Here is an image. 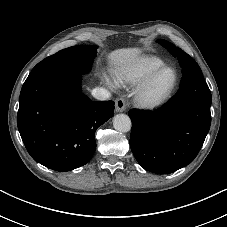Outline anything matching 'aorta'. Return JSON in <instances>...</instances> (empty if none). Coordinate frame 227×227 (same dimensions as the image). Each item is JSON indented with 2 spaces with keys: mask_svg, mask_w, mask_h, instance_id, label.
Instances as JSON below:
<instances>
[{
  "mask_svg": "<svg viewBox=\"0 0 227 227\" xmlns=\"http://www.w3.org/2000/svg\"><path fill=\"white\" fill-rule=\"evenodd\" d=\"M113 126L119 132H128L131 130V119L126 114H117L113 118Z\"/></svg>",
  "mask_w": 227,
  "mask_h": 227,
  "instance_id": "obj_1",
  "label": "aorta"
}]
</instances>
